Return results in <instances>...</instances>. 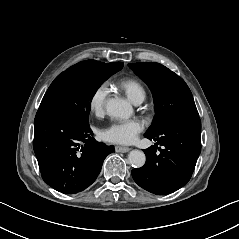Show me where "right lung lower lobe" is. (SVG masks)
I'll list each match as a JSON object with an SVG mask.
<instances>
[{
  "mask_svg": "<svg viewBox=\"0 0 239 239\" xmlns=\"http://www.w3.org/2000/svg\"><path fill=\"white\" fill-rule=\"evenodd\" d=\"M33 148L43 180L55 190L78 193L101 171L113 146L97 142L89 123L72 115L49 113L35 117Z\"/></svg>",
  "mask_w": 239,
  "mask_h": 239,
  "instance_id": "right-lung-lower-lobe-1",
  "label": "right lung lower lobe"
}]
</instances>
